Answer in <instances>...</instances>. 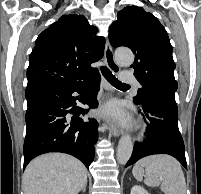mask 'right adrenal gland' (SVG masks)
I'll list each match as a JSON object with an SVG mask.
<instances>
[{
	"mask_svg": "<svg viewBox=\"0 0 201 194\" xmlns=\"http://www.w3.org/2000/svg\"><path fill=\"white\" fill-rule=\"evenodd\" d=\"M82 192H86V185L82 188Z\"/></svg>",
	"mask_w": 201,
	"mask_h": 194,
	"instance_id": "2a0ac1e0",
	"label": "right adrenal gland"
}]
</instances>
